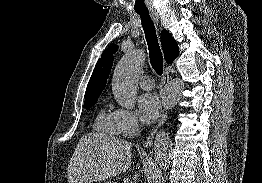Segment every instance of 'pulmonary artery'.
Listing matches in <instances>:
<instances>
[{
  "label": "pulmonary artery",
  "mask_w": 262,
  "mask_h": 183,
  "mask_svg": "<svg viewBox=\"0 0 262 183\" xmlns=\"http://www.w3.org/2000/svg\"><path fill=\"white\" fill-rule=\"evenodd\" d=\"M139 85L144 90H151L154 87V80L149 75H144L139 79Z\"/></svg>",
  "instance_id": "obj_1"
}]
</instances>
